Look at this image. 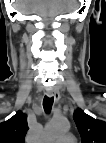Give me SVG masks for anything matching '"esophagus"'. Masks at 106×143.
<instances>
[{"label":"esophagus","instance_id":"esophagus-1","mask_svg":"<svg viewBox=\"0 0 106 143\" xmlns=\"http://www.w3.org/2000/svg\"><path fill=\"white\" fill-rule=\"evenodd\" d=\"M47 96L49 98H53L55 102L59 100V94L56 93L54 90L50 89L47 91Z\"/></svg>","mask_w":106,"mask_h":143}]
</instances>
